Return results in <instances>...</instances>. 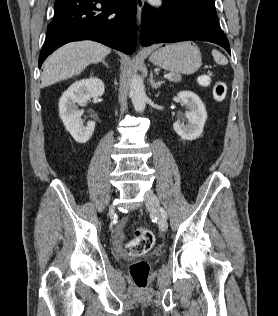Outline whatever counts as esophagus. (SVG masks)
Segmentation results:
<instances>
[{"instance_id": "esophagus-1", "label": "esophagus", "mask_w": 278, "mask_h": 316, "mask_svg": "<svg viewBox=\"0 0 278 316\" xmlns=\"http://www.w3.org/2000/svg\"><path fill=\"white\" fill-rule=\"evenodd\" d=\"M143 5H144V0H137V20H138L139 25H141Z\"/></svg>"}]
</instances>
